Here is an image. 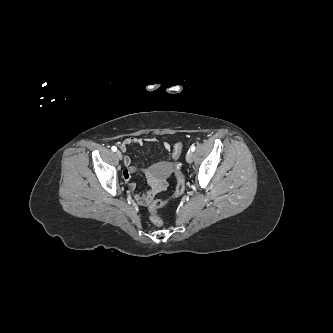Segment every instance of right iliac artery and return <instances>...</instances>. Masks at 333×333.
<instances>
[{"instance_id": "1", "label": "right iliac artery", "mask_w": 333, "mask_h": 333, "mask_svg": "<svg viewBox=\"0 0 333 333\" xmlns=\"http://www.w3.org/2000/svg\"><path fill=\"white\" fill-rule=\"evenodd\" d=\"M111 149H112V151H116L117 150V148L115 146H113Z\"/></svg>"}]
</instances>
